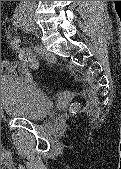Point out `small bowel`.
<instances>
[{
    "label": "small bowel",
    "instance_id": "c3829d8e",
    "mask_svg": "<svg viewBox=\"0 0 121 169\" xmlns=\"http://www.w3.org/2000/svg\"><path fill=\"white\" fill-rule=\"evenodd\" d=\"M3 72L19 75L25 79H30L28 66L23 61L4 60L1 64Z\"/></svg>",
    "mask_w": 121,
    "mask_h": 169
}]
</instances>
